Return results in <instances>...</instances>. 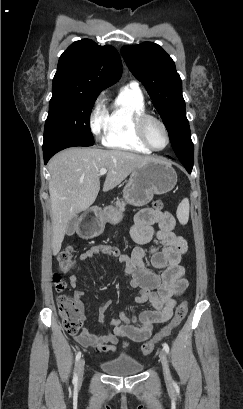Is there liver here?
<instances>
[{"label": "liver", "instance_id": "1", "mask_svg": "<svg viewBox=\"0 0 243 409\" xmlns=\"http://www.w3.org/2000/svg\"><path fill=\"white\" fill-rule=\"evenodd\" d=\"M152 160L155 159L118 149L80 147L63 150L52 157L48 169L53 255L61 250L70 219L95 202L100 190V169L108 170L103 185V191L107 192Z\"/></svg>", "mask_w": 243, "mask_h": 409}]
</instances>
